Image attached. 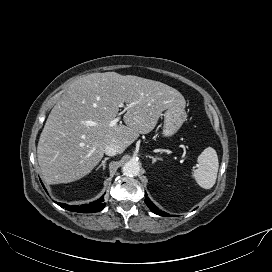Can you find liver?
<instances>
[{
    "label": "liver",
    "instance_id": "liver-1",
    "mask_svg": "<svg viewBox=\"0 0 272 272\" xmlns=\"http://www.w3.org/2000/svg\"><path fill=\"white\" fill-rule=\"evenodd\" d=\"M123 103L125 125L109 126ZM173 106L185 107L184 97L159 81L116 72L82 77L53 107L40 135L37 157L43 179L48 184L81 179L101 161L106 146L114 144L123 153Z\"/></svg>",
    "mask_w": 272,
    "mask_h": 272
}]
</instances>
